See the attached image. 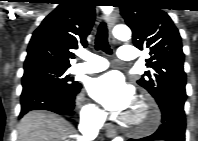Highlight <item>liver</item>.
<instances>
[{
	"label": "liver",
	"instance_id": "obj_1",
	"mask_svg": "<svg viewBox=\"0 0 198 141\" xmlns=\"http://www.w3.org/2000/svg\"><path fill=\"white\" fill-rule=\"evenodd\" d=\"M76 137L68 121L47 111H31L18 125V141H68Z\"/></svg>",
	"mask_w": 198,
	"mask_h": 141
}]
</instances>
